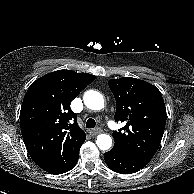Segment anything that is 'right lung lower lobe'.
<instances>
[{
  "label": "right lung lower lobe",
  "instance_id": "right-lung-lower-lobe-1",
  "mask_svg": "<svg viewBox=\"0 0 194 194\" xmlns=\"http://www.w3.org/2000/svg\"><path fill=\"white\" fill-rule=\"evenodd\" d=\"M78 157H79V155L76 158H74L70 164H68L65 168L62 169V171H60L57 174H62V173H65V172H68L69 170H71L75 166V164L78 160Z\"/></svg>",
  "mask_w": 194,
  "mask_h": 194
}]
</instances>
